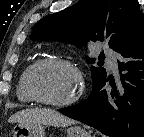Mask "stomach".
Masks as SVG:
<instances>
[{"label":"stomach","mask_w":144,"mask_h":137,"mask_svg":"<svg viewBox=\"0 0 144 137\" xmlns=\"http://www.w3.org/2000/svg\"><path fill=\"white\" fill-rule=\"evenodd\" d=\"M13 137H45V129L41 124H17L12 129ZM68 137H90V134L79 126L67 129Z\"/></svg>","instance_id":"stomach-1"}]
</instances>
